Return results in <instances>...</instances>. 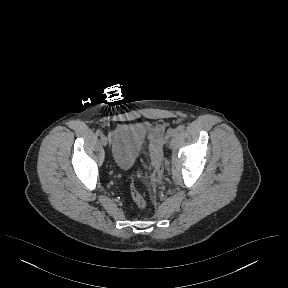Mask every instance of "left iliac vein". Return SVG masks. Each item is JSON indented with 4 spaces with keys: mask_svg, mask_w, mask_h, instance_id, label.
Segmentation results:
<instances>
[{
    "mask_svg": "<svg viewBox=\"0 0 288 288\" xmlns=\"http://www.w3.org/2000/svg\"><path fill=\"white\" fill-rule=\"evenodd\" d=\"M177 133V131L175 129H172L168 132V137L174 136Z\"/></svg>",
    "mask_w": 288,
    "mask_h": 288,
    "instance_id": "1",
    "label": "left iliac vein"
}]
</instances>
